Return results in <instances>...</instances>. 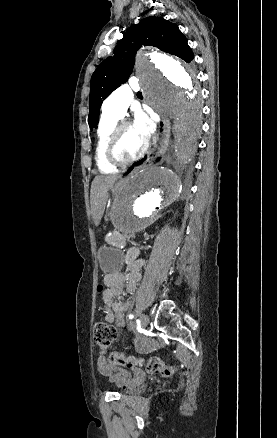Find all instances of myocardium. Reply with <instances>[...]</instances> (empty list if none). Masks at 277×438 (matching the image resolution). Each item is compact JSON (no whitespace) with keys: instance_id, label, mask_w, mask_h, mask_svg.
<instances>
[{"instance_id":"1","label":"myocardium","mask_w":277,"mask_h":438,"mask_svg":"<svg viewBox=\"0 0 277 438\" xmlns=\"http://www.w3.org/2000/svg\"><path fill=\"white\" fill-rule=\"evenodd\" d=\"M133 126L129 121H120L113 128L107 146H106V157L109 163L116 167H126L139 161L147 151V144H144L142 151L135 157L130 159H124L119 155V142L120 136L125 127Z\"/></svg>"}]
</instances>
